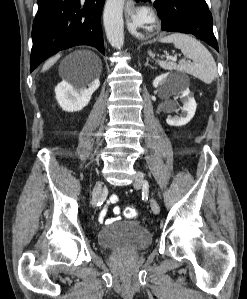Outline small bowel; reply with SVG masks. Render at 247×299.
Here are the masks:
<instances>
[{
	"label": "small bowel",
	"instance_id": "obj_1",
	"mask_svg": "<svg viewBox=\"0 0 247 299\" xmlns=\"http://www.w3.org/2000/svg\"><path fill=\"white\" fill-rule=\"evenodd\" d=\"M118 199L119 198L116 194H113L109 197V199L107 201V206H105L100 211V214H99V217H98L100 223H112V222H114V221H116L120 218V216H119L120 208L118 206H115V207L112 208V213H113L114 217H112V218L107 217V215H108V206L117 203Z\"/></svg>",
	"mask_w": 247,
	"mask_h": 299
}]
</instances>
